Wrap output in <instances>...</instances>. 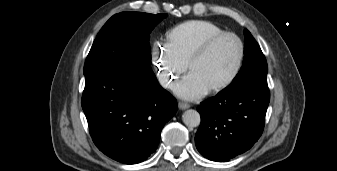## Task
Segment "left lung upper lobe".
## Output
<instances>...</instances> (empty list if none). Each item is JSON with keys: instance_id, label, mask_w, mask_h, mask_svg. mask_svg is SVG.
<instances>
[{"instance_id": "1", "label": "left lung upper lobe", "mask_w": 337, "mask_h": 171, "mask_svg": "<svg viewBox=\"0 0 337 171\" xmlns=\"http://www.w3.org/2000/svg\"><path fill=\"white\" fill-rule=\"evenodd\" d=\"M244 60L243 65L233 82L223 91L250 84L267 85L268 66L260 46L251 33L244 29Z\"/></svg>"}]
</instances>
